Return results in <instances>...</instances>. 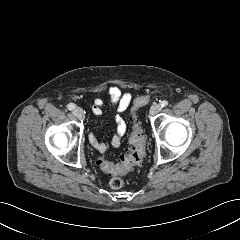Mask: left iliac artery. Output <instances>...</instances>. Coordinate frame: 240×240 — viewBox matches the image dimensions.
Listing matches in <instances>:
<instances>
[{"instance_id":"44dca946","label":"left iliac artery","mask_w":240,"mask_h":240,"mask_svg":"<svg viewBox=\"0 0 240 240\" xmlns=\"http://www.w3.org/2000/svg\"><path fill=\"white\" fill-rule=\"evenodd\" d=\"M160 105H161V107H166V106H168V101L163 100V101H161Z\"/></svg>"}]
</instances>
